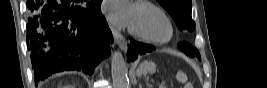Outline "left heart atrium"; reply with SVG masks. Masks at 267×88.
<instances>
[{
    "label": "left heart atrium",
    "mask_w": 267,
    "mask_h": 88,
    "mask_svg": "<svg viewBox=\"0 0 267 88\" xmlns=\"http://www.w3.org/2000/svg\"><path fill=\"white\" fill-rule=\"evenodd\" d=\"M104 12L109 21L117 26H128L131 24L133 7L126 0H111L104 5Z\"/></svg>",
    "instance_id": "left-heart-atrium-1"
}]
</instances>
